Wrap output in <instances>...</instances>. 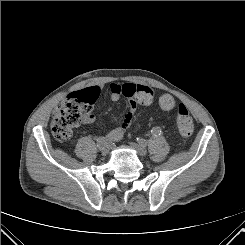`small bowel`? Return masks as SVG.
Returning <instances> with one entry per match:
<instances>
[{"label":"small bowel","instance_id":"obj_1","mask_svg":"<svg viewBox=\"0 0 245 245\" xmlns=\"http://www.w3.org/2000/svg\"><path fill=\"white\" fill-rule=\"evenodd\" d=\"M142 85H137L133 83H112L110 84V93H111V99L113 101L119 100L120 97H126L128 99V110L124 116L123 121L121 124L115 128L113 131H111L109 134H107L104 138L109 141H118L122 138L126 130L129 128V126L132 124L134 116L136 114L137 105L139 104L136 100V90L137 88L141 87ZM177 101L176 99L171 95H163L158 100V107L162 111H172L176 108ZM166 119H170L167 117ZM96 120V116L93 113H88L84 118V123L90 124L93 123Z\"/></svg>","mask_w":245,"mask_h":245}]
</instances>
